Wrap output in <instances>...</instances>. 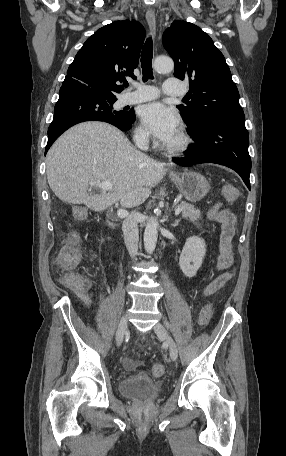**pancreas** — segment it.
Wrapping results in <instances>:
<instances>
[{
    "instance_id": "1",
    "label": "pancreas",
    "mask_w": 286,
    "mask_h": 456,
    "mask_svg": "<svg viewBox=\"0 0 286 456\" xmlns=\"http://www.w3.org/2000/svg\"><path fill=\"white\" fill-rule=\"evenodd\" d=\"M177 207H182V217L190 219L192 222L197 221L201 217L200 210L196 209L192 204L181 202Z\"/></svg>"
}]
</instances>
